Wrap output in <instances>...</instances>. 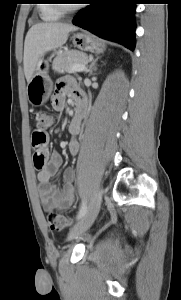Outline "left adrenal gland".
Masks as SVG:
<instances>
[{"instance_id":"obj_1","label":"left adrenal gland","mask_w":181,"mask_h":300,"mask_svg":"<svg viewBox=\"0 0 181 300\" xmlns=\"http://www.w3.org/2000/svg\"><path fill=\"white\" fill-rule=\"evenodd\" d=\"M99 57L95 58L94 60L91 61V64L89 65V76L92 75L93 71L96 70L95 64L98 61Z\"/></svg>"}]
</instances>
